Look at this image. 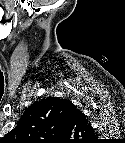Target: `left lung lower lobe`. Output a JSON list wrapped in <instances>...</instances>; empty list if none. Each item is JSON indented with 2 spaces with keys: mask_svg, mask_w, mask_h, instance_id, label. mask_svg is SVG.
<instances>
[{
  "mask_svg": "<svg viewBox=\"0 0 125 143\" xmlns=\"http://www.w3.org/2000/svg\"><path fill=\"white\" fill-rule=\"evenodd\" d=\"M67 112H66V123L67 125H72V123L77 120V119H81L82 117H84V115L82 114L81 111H79L78 109H76V107L69 102L67 104Z\"/></svg>",
  "mask_w": 125,
  "mask_h": 143,
  "instance_id": "obj_1",
  "label": "left lung lower lobe"
}]
</instances>
